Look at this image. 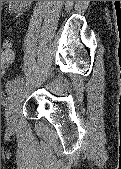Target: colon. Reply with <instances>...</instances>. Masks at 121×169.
Returning <instances> with one entry per match:
<instances>
[{
	"label": "colon",
	"mask_w": 121,
	"mask_h": 169,
	"mask_svg": "<svg viewBox=\"0 0 121 169\" xmlns=\"http://www.w3.org/2000/svg\"><path fill=\"white\" fill-rule=\"evenodd\" d=\"M14 51L9 41H5L1 51V70L4 71L13 64Z\"/></svg>",
	"instance_id": "1"
}]
</instances>
